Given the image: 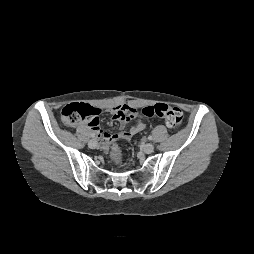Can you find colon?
<instances>
[{
  "instance_id": "5ec220e1",
  "label": "colon",
  "mask_w": 254,
  "mask_h": 254,
  "mask_svg": "<svg viewBox=\"0 0 254 254\" xmlns=\"http://www.w3.org/2000/svg\"><path fill=\"white\" fill-rule=\"evenodd\" d=\"M142 114L146 117H158L167 127L174 129L180 126L183 119V113L179 108L165 103L146 106L142 109ZM60 117L66 126H75L81 122L90 124L98 117V111L88 104L73 103L63 107ZM114 156L120 160V153L117 150H114Z\"/></svg>"
}]
</instances>
